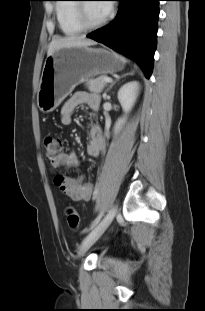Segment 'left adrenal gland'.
<instances>
[{
  "label": "left adrenal gland",
  "mask_w": 205,
  "mask_h": 311,
  "mask_svg": "<svg viewBox=\"0 0 205 311\" xmlns=\"http://www.w3.org/2000/svg\"><path fill=\"white\" fill-rule=\"evenodd\" d=\"M133 74H134V72L132 71V72H129V73H126V74L122 75L121 77H125V76H127V75H133ZM121 77H118L115 81H113V82L110 84V86L107 88L106 91H109V90L113 87V85H114L117 81H119V79H120Z\"/></svg>",
  "instance_id": "obj_1"
}]
</instances>
